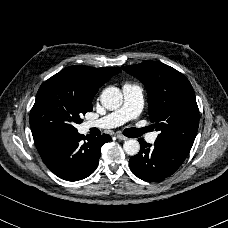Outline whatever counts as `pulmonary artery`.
Segmentation results:
<instances>
[{
    "label": "pulmonary artery",
    "instance_id": "e3ab8cb5",
    "mask_svg": "<svg viewBox=\"0 0 228 228\" xmlns=\"http://www.w3.org/2000/svg\"><path fill=\"white\" fill-rule=\"evenodd\" d=\"M124 103L121 108L112 113L93 121H87L84 126L86 129H110L121 126L128 120H135L141 114L142 87L137 83H125L122 87ZM158 133L152 132L146 136V141L153 144L157 139Z\"/></svg>",
    "mask_w": 228,
    "mask_h": 228
}]
</instances>
